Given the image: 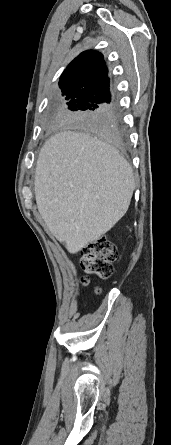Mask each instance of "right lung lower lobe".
Masks as SVG:
<instances>
[{
  "mask_svg": "<svg viewBox=\"0 0 171 445\" xmlns=\"http://www.w3.org/2000/svg\"><path fill=\"white\" fill-rule=\"evenodd\" d=\"M110 106L105 110V112L100 117L99 123L100 127L105 134L106 138L113 141H119V126L117 119V106L116 101L108 100Z\"/></svg>",
  "mask_w": 171,
  "mask_h": 445,
  "instance_id": "obj_1",
  "label": "right lung lower lobe"
}]
</instances>
